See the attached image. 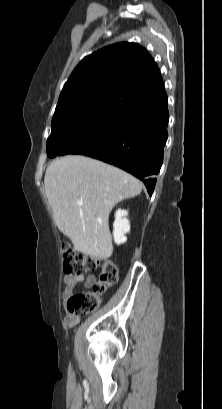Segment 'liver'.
Returning a JSON list of instances; mask_svg holds the SVG:
<instances>
[{
	"mask_svg": "<svg viewBox=\"0 0 222 409\" xmlns=\"http://www.w3.org/2000/svg\"><path fill=\"white\" fill-rule=\"evenodd\" d=\"M44 185L55 224L71 240L73 250L100 259L113 253L111 210L139 195L143 187L125 171L80 155L54 160L46 169Z\"/></svg>",
	"mask_w": 222,
	"mask_h": 409,
	"instance_id": "6515ba94",
	"label": "liver"
}]
</instances>
